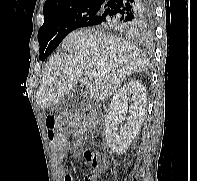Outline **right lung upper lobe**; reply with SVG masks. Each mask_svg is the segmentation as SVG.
<instances>
[{
  "instance_id": "obj_1",
  "label": "right lung upper lobe",
  "mask_w": 197,
  "mask_h": 181,
  "mask_svg": "<svg viewBox=\"0 0 197 181\" xmlns=\"http://www.w3.org/2000/svg\"><path fill=\"white\" fill-rule=\"evenodd\" d=\"M109 0H47L44 7V17L65 12L86 5H103Z\"/></svg>"
}]
</instances>
